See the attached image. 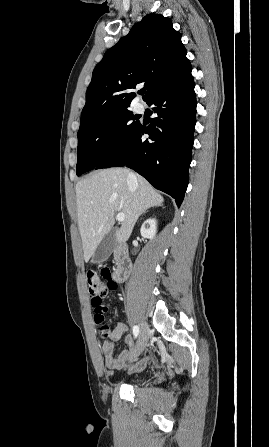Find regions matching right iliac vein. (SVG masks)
<instances>
[{"instance_id": "63e3f726", "label": "right iliac vein", "mask_w": 269, "mask_h": 447, "mask_svg": "<svg viewBox=\"0 0 269 447\" xmlns=\"http://www.w3.org/2000/svg\"><path fill=\"white\" fill-rule=\"evenodd\" d=\"M149 338V326L145 323L141 325L139 337L130 355V359L138 357L145 349Z\"/></svg>"}]
</instances>
